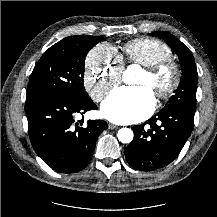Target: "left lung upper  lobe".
<instances>
[{"label":"left lung upper lobe","instance_id":"left-lung-upper-lobe-1","mask_svg":"<svg viewBox=\"0 0 217 217\" xmlns=\"http://www.w3.org/2000/svg\"><path fill=\"white\" fill-rule=\"evenodd\" d=\"M150 35L162 38L177 54L182 69L181 82L167 105L161 110L187 108L196 110L198 73L192 52L180 40L168 32L158 31Z\"/></svg>","mask_w":217,"mask_h":217}]
</instances>
